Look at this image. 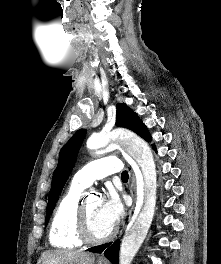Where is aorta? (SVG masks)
Instances as JSON below:
<instances>
[{
	"label": "aorta",
	"instance_id": "1",
	"mask_svg": "<svg viewBox=\"0 0 221 264\" xmlns=\"http://www.w3.org/2000/svg\"><path fill=\"white\" fill-rule=\"evenodd\" d=\"M111 135L99 134L90 138L89 147L95 149V155L105 153L110 149ZM127 153L136 161L141 170V178L137 181V194L143 199V206L139 213L129 223L123 237L120 253V264H131L152 223L155 205L157 175L153 154L148 144L133 135H117Z\"/></svg>",
	"mask_w": 221,
	"mask_h": 264
}]
</instances>
